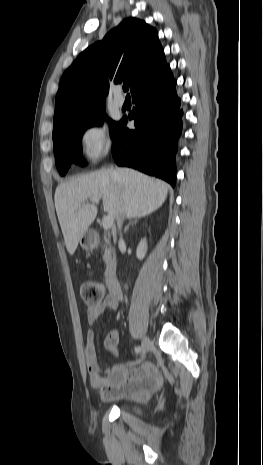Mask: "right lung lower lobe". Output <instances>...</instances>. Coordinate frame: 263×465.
Here are the masks:
<instances>
[{"label":"right lung lower lobe","mask_w":263,"mask_h":465,"mask_svg":"<svg viewBox=\"0 0 263 465\" xmlns=\"http://www.w3.org/2000/svg\"><path fill=\"white\" fill-rule=\"evenodd\" d=\"M169 65L132 92L136 108L129 114L134 130L126 128L127 117L111 133L112 155L120 166H128L176 183L175 154L182 131L180 99Z\"/></svg>","instance_id":"1"}]
</instances>
